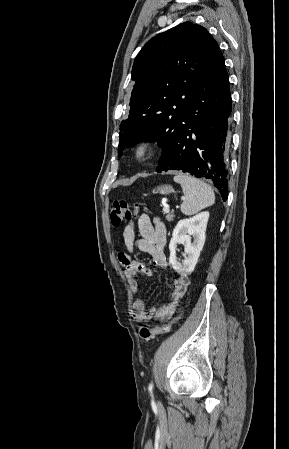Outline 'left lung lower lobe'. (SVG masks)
Instances as JSON below:
<instances>
[{"instance_id": "0a47b994", "label": "left lung lower lobe", "mask_w": 289, "mask_h": 449, "mask_svg": "<svg viewBox=\"0 0 289 449\" xmlns=\"http://www.w3.org/2000/svg\"><path fill=\"white\" fill-rule=\"evenodd\" d=\"M231 106L229 77L219 50L203 72L191 103L175 128L167 154L159 161L157 172L182 170L210 179L226 201Z\"/></svg>"}]
</instances>
